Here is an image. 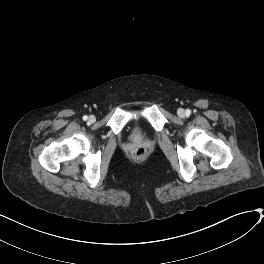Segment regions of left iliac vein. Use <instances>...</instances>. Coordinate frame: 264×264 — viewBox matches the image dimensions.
I'll return each mask as SVG.
<instances>
[{"instance_id": "4c4485c4", "label": "left iliac vein", "mask_w": 264, "mask_h": 264, "mask_svg": "<svg viewBox=\"0 0 264 264\" xmlns=\"http://www.w3.org/2000/svg\"><path fill=\"white\" fill-rule=\"evenodd\" d=\"M178 115H179V117H181V118L185 117V110L182 109V108H180V109L178 110Z\"/></svg>"}]
</instances>
